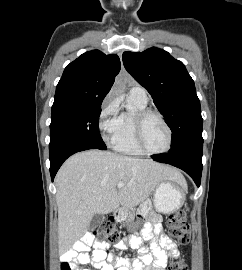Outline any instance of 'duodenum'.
Masks as SVG:
<instances>
[{
  "label": "duodenum",
  "instance_id": "410a0bca",
  "mask_svg": "<svg viewBox=\"0 0 242 270\" xmlns=\"http://www.w3.org/2000/svg\"><path fill=\"white\" fill-rule=\"evenodd\" d=\"M119 215H120V211H113V212L111 213V216L114 217V218H118Z\"/></svg>",
  "mask_w": 242,
  "mask_h": 270
}]
</instances>
